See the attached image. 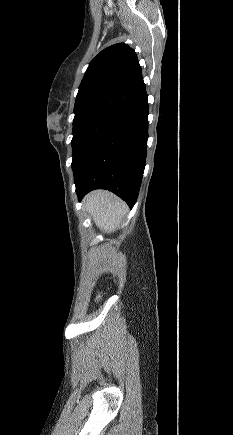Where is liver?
<instances>
[{"mask_svg": "<svg viewBox=\"0 0 233 435\" xmlns=\"http://www.w3.org/2000/svg\"><path fill=\"white\" fill-rule=\"evenodd\" d=\"M84 204L96 226L107 233L114 232L128 212L125 202L105 190L90 192Z\"/></svg>", "mask_w": 233, "mask_h": 435, "instance_id": "liver-1", "label": "liver"}]
</instances>
